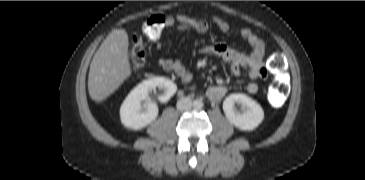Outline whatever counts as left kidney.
<instances>
[{
    "instance_id": "5707ae66",
    "label": "left kidney",
    "mask_w": 365,
    "mask_h": 180,
    "mask_svg": "<svg viewBox=\"0 0 365 180\" xmlns=\"http://www.w3.org/2000/svg\"><path fill=\"white\" fill-rule=\"evenodd\" d=\"M235 103L241 104L242 112L236 110ZM223 111L229 122L241 130H254L264 119L262 107L245 94L229 95L223 102Z\"/></svg>"
}]
</instances>
